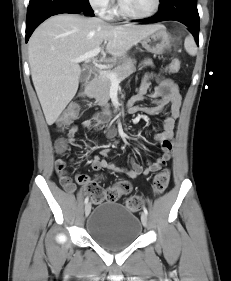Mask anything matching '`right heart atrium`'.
Masks as SVG:
<instances>
[{"label":"right heart atrium","mask_w":231,"mask_h":281,"mask_svg":"<svg viewBox=\"0 0 231 281\" xmlns=\"http://www.w3.org/2000/svg\"><path fill=\"white\" fill-rule=\"evenodd\" d=\"M91 7L101 14H106L112 7L113 0H88Z\"/></svg>","instance_id":"d8ad5b80"}]
</instances>
